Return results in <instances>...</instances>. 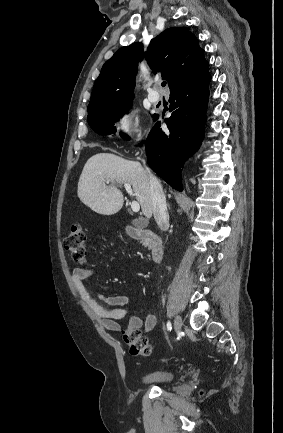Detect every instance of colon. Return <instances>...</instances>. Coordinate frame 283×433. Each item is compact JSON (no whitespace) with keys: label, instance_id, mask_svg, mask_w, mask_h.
Segmentation results:
<instances>
[{"label":"colon","instance_id":"5ec220e1","mask_svg":"<svg viewBox=\"0 0 283 433\" xmlns=\"http://www.w3.org/2000/svg\"><path fill=\"white\" fill-rule=\"evenodd\" d=\"M64 245L75 262L79 264L86 262L87 238L81 225L75 224L71 227L69 233L65 236ZM123 339L129 346L132 356H149L152 353V347L148 339L139 330L127 328L123 331Z\"/></svg>","mask_w":283,"mask_h":433}]
</instances>
